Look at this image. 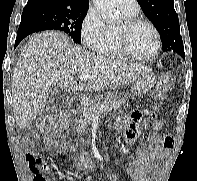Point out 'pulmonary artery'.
<instances>
[{"mask_svg":"<svg viewBox=\"0 0 197 181\" xmlns=\"http://www.w3.org/2000/svg\"><path fill=\"white\" fill-rule=\"evenodd\" d=\"M120 9L126 13H135L139 10L137 0H117Z\"/></svg>","mask_w":197,"mask_h":181,"instance_id":"pulmonary-artery-1","label":"pulmonary artery"}]
</instances>
